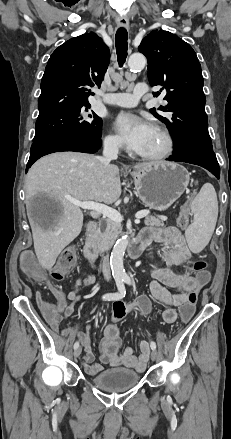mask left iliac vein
I'll return each mask as SVG.
<instances>
[{
  "label": "left iliac vein",
  "instance_id": "obj_1",
  "mask_svg": "<svg viewBox=\"0 0 231 439\" xmlns=\"http://www.w3.org/2000/svg\"><path fill=\"white\" fill-rule=\"evenodd\" d=\"M157 358H158V353H157V351H156V350H152V352H151V359H152L153 361H156Z\"/></svg>",
  "mask_w": 231,
  "mask_h": 439
}]
</instances>
